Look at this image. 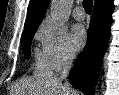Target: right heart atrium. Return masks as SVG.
Segmentation results:
<instances>
[{"label":"right heart atrium","instance_id":"d8ad5b80","mask_svg":"<svg viewBox=\"0 0 119 95\" xmlns=\"http://www.w3.org/2000/svg\"><path fill=\"white\" fill-rule=\"evenodd\" d=\"M38 38L52 70H59L75 58L65 29L52 22H45L38 31Z\"/></svg>","mask_w":119,"mask_h":95}]
</instances>
